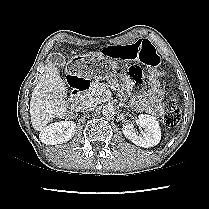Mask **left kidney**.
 Wrapping results in <instances>:
<instances>
[{
    "mask_svg": "<svg viewBox=\"0 0 209 209\" xmlns=\"http://www.w3.org/2000/svg\"><path fill=\"white\" fill-rule=\"evenodd\" d=\"M136 121L144 129L142 135L135 132L132 124L126 123L122 127L125 137L140 147L149 148L157 145L161 140V129L156 118L151 115L141 114Z\"/></svg>",
    "mask_w": 209,
    "mask_h": 209,
    "instance_id": "1",
    "label": "left kidney"
}]
</instances>
